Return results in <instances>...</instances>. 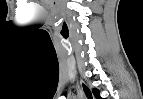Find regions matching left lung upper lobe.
Returning <instances> with one entry per match:
<instances>
[{
  "label": "left lung upper lobe",
  "mask_w": 143,
  "mask_h": 99,
  "mask_svg": "<svg viewBox=\"0 0 143 99\" xmlns=\"http://www.w3.org/2000/svg\"><path fill=\"white\" fill-rule=\"evenodd\" d=\"M93 94L96 97V99H101V97L99 95V90H97L96 88L93 89Z\"/></svg>",
  "instance_id": "obj_1"
}]
</instances>
